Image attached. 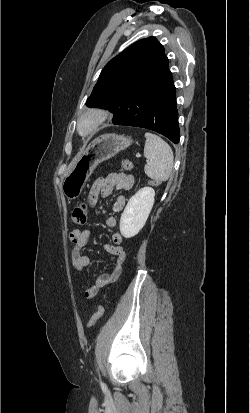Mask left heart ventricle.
<instances>
[{
	"label": "left heart ventricle",
	"mask_w": 250,
	"mask_h": 413,
	"mask_svg": "<svg viewBox=\"0 0 250 413\" xmlns=\"http://www.w3.org/2000/svg\"><path fill=\"white\" fill-rule=\"evenodd\" d=\"M89 126H90V121L89 120L84 121L82 124V130L86 131Z\"/></svg>",
	"instance_id": "1"
}]
</instances>
